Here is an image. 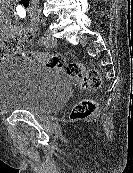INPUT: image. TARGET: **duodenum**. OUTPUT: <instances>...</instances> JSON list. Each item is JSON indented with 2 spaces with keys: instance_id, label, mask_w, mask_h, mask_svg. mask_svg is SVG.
I'll return each instance as SVG.
<instances>
[{
  "instance_id": "1",
  "label": "duodenum",
  "mask_w": 133,
  "mask_h": 173,
  "mask_svg": "<svg viewBox=\"0 0 133 173\" xmlns=\"http://www.w3.org/2000/svg\"><path fill=\"white\" fill-rule=\"evenodd\" d=\"M26 1H28V2L32 3V0H26Z\"/></svg>"
}]
</instances>
